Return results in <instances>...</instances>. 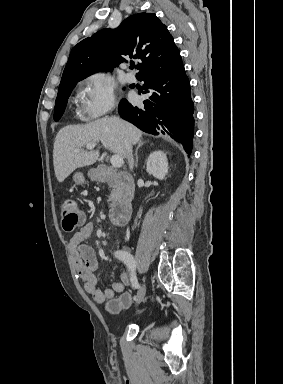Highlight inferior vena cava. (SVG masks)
I'll list each match as a JSON object with an SVG mask.
<instances>
[{
	"mask_svg": "<svg viewBox=\"0 0 283 384\" xmlns=\"http://www.w3.org/2000/svg\"><path fill=\"white\" fill-rule=\"evenodd\" d=\"M125 148H126L128 164H129L131 170H133L134 160H133V156H132V146H131V144H128V142H125Z\"/></svg>",
	"mask_w": 283,
	"mask_h": 384,
	"instance_id": "obj_1",
	"label": "inferior vena cava"
}]
</instances>
